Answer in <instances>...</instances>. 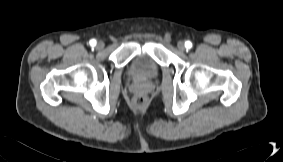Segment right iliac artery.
Returning <instances> with one entry per match:
<instances>
[{
	"label": "right iliac artery",
	"instance_id": "82829eb1",
	"mask_svg": "<svg viewBox=\"0 0 283 162\" xmlns=\"http://www.w3.org/2000/svg\"><path fill=\"white\" fill-rule=\"evenodd\" d=\"M96 43H97V42H96V40H95V39L90 40V45H91V46H95V45H96Z\"/></svg>",
	"mask_w": 283,
	"mask_h": 162
}]
</instances>
